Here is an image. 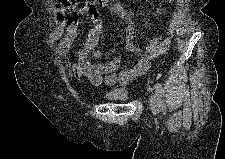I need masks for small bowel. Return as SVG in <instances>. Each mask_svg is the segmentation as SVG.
<instances>
[{
	"label": "small bowel",
	"instance_id": "small-bowel-1",
	"mask_svg": "<svg viewBox=\"0 0 225 159\" xmlns=\"http://www.w3.org/2000/svg\"><path fill=\"white\" fill-rule=\"evenodd\" d=\"M110 11L125 24V52L120 57L104 62H94L91 57L96 60L109 59L115 52V48L108 51L97 48L102 32V19L96 7L91 3L77 2L68 5L55 4L52 7L55 28L50 39L53 42H58L57 54L60 57H65L71 50V46L78 35L79 17L86 16L92 24L83 49L76 52L79 63L65 64L70 75L76 80L87 79L95 86L116 83L128 84L147 72L151 59L164 55L170 49L171 38L159 35L152 39L146 49L142 51L135 41L130 12L120 4L112 5ZM128 54H134L139 59L132 67L118 73L117 70Z\"/></svg>",
	"mask_w": 225,
	"mask_h": 159
}]
</instances>
